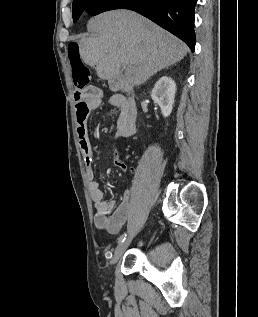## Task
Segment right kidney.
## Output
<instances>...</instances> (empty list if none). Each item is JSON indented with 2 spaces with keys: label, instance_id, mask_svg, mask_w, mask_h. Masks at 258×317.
<instances>
[{
  "label": "right kidney",
  "instance_id": "ca27d5eb",
  "mask_svg": "<svg viewBox=\"0 0 258 317\" xmlns=\"http://www.w3.org/2000/svg\"><path fill=\"white\" fill-rule=\"evenodd\" d=\"M176 84L171 76H161L152 88L151 96L161 106L163 116H169L172 112Z\"/></svg>",
  "mask_w": 258,
  "mask_h": 317
}]
</instances>
